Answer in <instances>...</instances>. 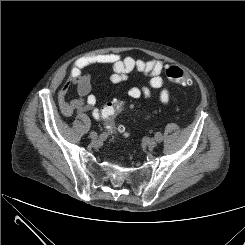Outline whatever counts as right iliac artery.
<instances>
[{
    "label": "right iliac artery",
    "instance_id": "obj_1",
    "mask_svg": "<svg viewBox=\"0 0 245 245\" xmlns=\"http://www.w3.org/2000/svg\"><path fill=\"white\" fill-rule=\"evenodd\" d=\"M105 137V133L101 134V138Z\"/></svg>",
    "mask_w": 245,
    "mask_h": 245
}]
</instances>
